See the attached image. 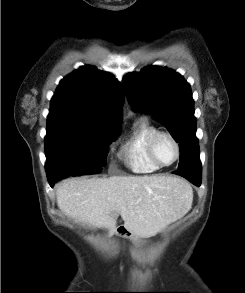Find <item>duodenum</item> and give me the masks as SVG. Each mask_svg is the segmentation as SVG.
I'll list each match as a JSON object with an SVG mask.
<instances>
[{
  "instance_id": "410a0bca",
  "label": "duodenum",
  "mask_w": 245,
  "mask_h": 293,
  "mask_svg": "<svg viewBox=\"0 0 245 293\" xmlns=\"http://www.w3.org/2000/svg\"><path fill=\"white\" fill-rule=\"evenodd\" d=\"M117 236L124 237L129 234V230L125 226H117L114 228Z\"/></svg>"
}]
</instances>
